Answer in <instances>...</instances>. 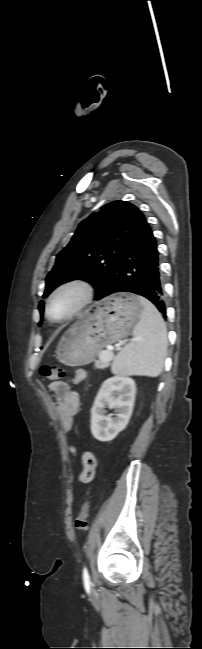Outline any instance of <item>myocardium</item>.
Wrapping results in <instances>:
<instances>
[{"label":"myocardium","instance_id":"obj_1","mask_svg":"<svg viewBox=\"0 0 202 649\" xmlns=\"http://www.w3.org/2000/svg\"><path fill=\"white\" fill-rule=\"evenodd\" d=\"M68 289L77 290L79 292V300L77 301L73 309L66 316L62 318H55L53 317L50 311V304L59 293ZM93 297H94V288L93 285L88 280L84 278L76 277V278H71L66 281H63L51 291V293L48 295L46 299L45 312L47 318L50 321L56 323L69 321L74 317H76L84 308H86L92 302Z\"/></svg>","mask_w":202,"mask_h":649}]
</instances>
